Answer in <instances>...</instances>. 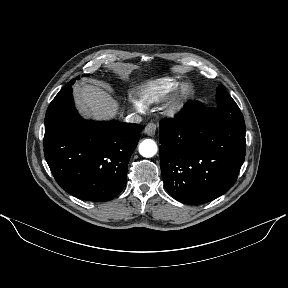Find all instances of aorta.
Masks as SVG:
<instances>
[{
  "label": "aorta",
  "mask_w": 288,
  "mask_h": 288,
  "mask_svg": "<svg viewBox=\"0 0 288 288\" xmlns=\"http://www.w3.org/2000/svg\"><path fill=\"white\" fill-rule=\"evenodd\" d=\"M139 153L146 158L153 157L157 153V144L151 139H145L139 145Z\"/></svg>",
  "instance_id": "1"
}]
</instances>
